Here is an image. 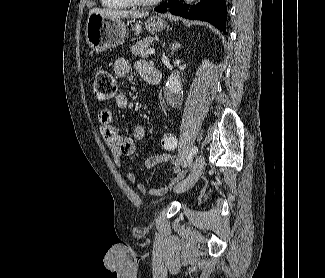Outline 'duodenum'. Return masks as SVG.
Instances as JSON below:
<instances>
[{"label": "duodenum", "mask_w": 325, "mask_h": 278, "mask_svg": "<svg viewBox=\"0 0 325 278\" xmlns=\"http://www.w3.org/2000/svg\"><path fill=\"white\" fill-rule=\"evenodd\" d=\"M144 78L149 84L157 86L161 82V72L148 65L145 69Z\"/></svg>", "instance_id": "410a0bca"}]
</instances>
